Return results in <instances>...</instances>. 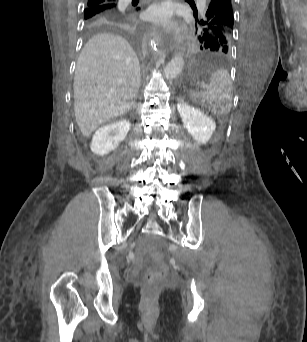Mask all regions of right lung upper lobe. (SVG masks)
Masks as SVG:
<instances>
[{
    "label": "right lung upper lobe",
    "mask_w": 307,
    "mask_h": 342,
    "mask_svg": "<svg viewBox=\"0 0 307 342\" xmlns=\"http://www.w3.org/2000/svg\"><path fill=\"white\" fill-rule=\"evenodd\" d=\"M138 0L132 5L122 0H87L86 10H92L91 16L83 20L86 32H116L135 35L140 31V9L136 7Z\"/></svg>",
    "instance_id": "1"
}]
</instances>
